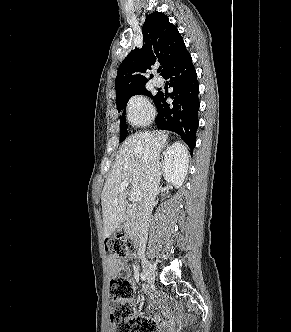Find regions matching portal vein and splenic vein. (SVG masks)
<instances>
[{
  "label": "portal vein and splenic vein",
  "mask_w": 291,
  "mask_h": 332,
  "mask_svg": "<svg viewBox=\"0 0 291 332\" xmlns=\"http://www.w3.org/2000/svg\"><path fill=\"white\" fill-rule=\"evenodd\" d=\"M128 186H129V183H128L127 181H124V182H122L121 185H120V190L123 191V190H125ZM130 197H131V200H132L133 202H138V201H140V200L142 199V193H141L140 191H132Z\"/></svg>",
  "instance_id": "obj_1"
}]
</instances>
